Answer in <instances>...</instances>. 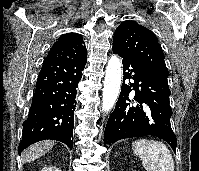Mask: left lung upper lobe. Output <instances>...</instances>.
Returning a JSON list of instances; mask_svg holds the SVG:
<instances>
[{"label": "left lung upper lobe", "mask_w": 199, "mask_h": 171, "mask_svg": "<svg viewBox=\"0 0 199 171\" xmlns=\"http://www.w3.org/2000/svg\"><path fill=\"white\" fill-rule=\"evenodd\" d=\"M113 47L121 50L142 67L167 80L169 72L165 65L164 53L151 30L135 21L127 20L116 29Z\"/></svg>", "instance_id": "1"}]
</instances>
